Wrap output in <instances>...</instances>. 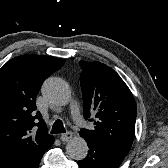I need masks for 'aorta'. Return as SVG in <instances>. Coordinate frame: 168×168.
I'll return each instance as SVG.
<instances>
[{
    "label": "aorta",
    "mask_w": 168,
    "mask_h": 168,
    "mask_svg": "<svg viewBox=\"0 0 168 168\" xmlns=\"http://www.w3.org/2000/svg\"><path fill=\"white\" fill-rule=\"evenodd\" d=\"M42 95L52 105L64 106L71 100V89L62 79L50 77L41 88ZM66 152L70 158L83 160L88 153V146L84 138L75 136L66 145Z\"/></svg>",
    "instance_id": "1"
}]
</instances>
